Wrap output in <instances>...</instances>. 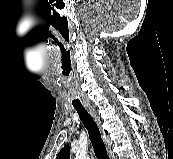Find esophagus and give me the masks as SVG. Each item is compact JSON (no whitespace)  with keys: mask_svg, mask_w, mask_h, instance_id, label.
Here are the masks:
<instances>
[{"mask_svg":"<svg viewBox=\"0 0 173 159\" xmlns=\"http://www.w3.org/2000/svg\"><path fill=\"white\" fill-rule=\"evenodd\" d=\"M89 110H90L92 116L94 117L95 121L97 122V124L101 128V121H100L99 116L97 115V112L94 109H92V108H89ZM103 139L106 140L104 132H103Z\"/></svg>","mask_w":173,"mask_h":159,"instance_id":"1","label":"esophagus"}]
</instances>
